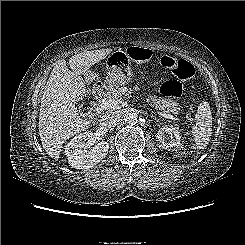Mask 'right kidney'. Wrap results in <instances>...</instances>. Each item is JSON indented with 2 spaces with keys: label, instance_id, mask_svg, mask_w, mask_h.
<instances>
[{
  "label": "right kidney",
  "instance_id": "obj_1",
  "mask_svg": "<svg viewBox=\"0 0 245 245\" xmlns=\"http://www.w3.org/2000/svg\"><path fill=\"white\" fill-rule=\"evenodd\" d=\"M93 133L86 131L71 139L65 146V154L69 164L76 169H89L103 160L109 150V144L102 141L87 150Z\"/></svg>",
  "mask_w": 245,
  "mask_h": 245
}]
</instances>
